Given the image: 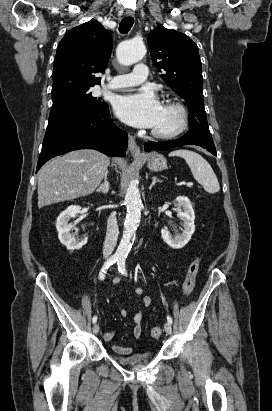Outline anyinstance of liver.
<instances>
[{"instance_id": "6515ba94", "label": "liver", "mask_w": 272, "mask_h": 411, "mask_svg": "<svg viewBox=\"0 0 272 411\" xmlns=\"http://www.w3.org/2000/svg\"><path fill=\"white\" fill-rule=\"evenodd\" d=\"M108 156L91 149L69 152L38 174V208L92 193L108 172Z\"/></svg>"}]
</instances>
